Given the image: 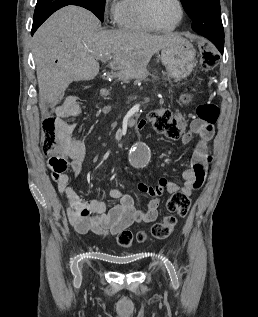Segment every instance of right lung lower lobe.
I'll return each instance as SVG.
<instances>
[{"instance_id": "right-lung-lower-lobe-1", "label": "right lung lower lobe", "mask_w": 258, "mask_h": 317, "mask_svg": "<svg viewBox=\"0 0 258 317\" xmlns=\"http://www.w3.org/2000/svg\"><path fill=\"white\" fill-rule=\"evenodd\" d=\"M77 5L90 10L89 0H38L34 12V20L31 35L37 30V28L56 10L67 6ZM91 11V10H90Z\"/></svg>"}]
</instances>
